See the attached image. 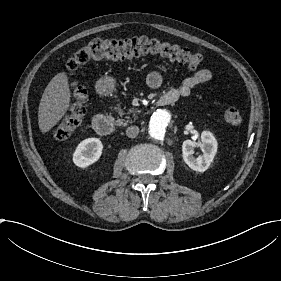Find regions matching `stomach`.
<instances>
[{
    "label": "stomach",
    "instance_id": "0dacf381",
    "mask_svg": "<svg viewBox=\"0 0 281 281\" xmlns=\"http://www.w3.org/2000/svg\"><path fill=\"white\" fill-rule=\"evenodd\" d=\"M98 82L100 85L99 93L111 94L115 89L116 80L110 75L102 76Z\"/></svg>",
    "mask_w": 281,
    "mask_h": 281
}]
</instances>
